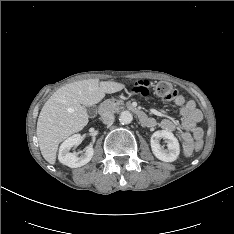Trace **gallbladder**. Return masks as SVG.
I'll list each match as a JSON object with an SVG mask.
<instances>
[{
	"mask_svg": "<svg viewBox=\"0 0 234 234\" xmlns=\"http://www.w3.org/2000/svg\"><path fill=\"white\" fill-rule=\"evenodd\" d=\"M87 114L93 116L96 113V108L94 106L86 107Z\"/></svg>",
	"mask_w": 234,
	"mask_h": 234,
	"instance_id": "bac80fb5",
	"label": "gallbladder"
}]
</instances>
